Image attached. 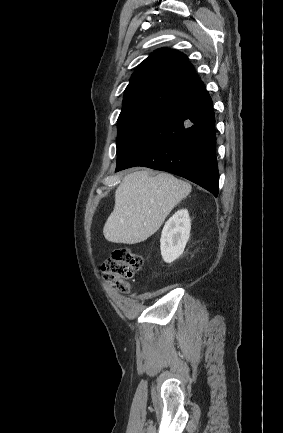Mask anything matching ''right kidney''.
<instances>
[{
  "instance_id": "1",
  "label": "right kidney",
  "mask_w": 283,
  "mask_h": 433,
  "mask_svg": "<svg viewBox=\"0 0 283 433\" xmlns=\"http://www.w3.org/2000/svg\"><path fill=\"white\" fill-rule=\"evenodd\" d=\"M190 230L191 221L186 209L178 210L165 223L160 248L162 258L166 263H172L183 254L190 237Z\"/></svg>"
}]
</instances>
